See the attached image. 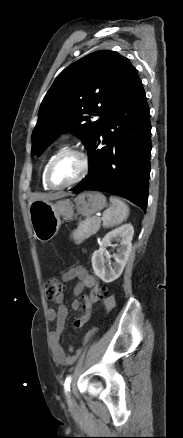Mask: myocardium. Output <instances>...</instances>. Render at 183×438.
<instances>
[{"mask_svg": "<svg viewBox=\"0 0 183 438\" xmlns=\"http://www.w3.org/2000/svg\"><path fill=\"white\" fill-rule=\"evenodd\" d=\"M69 155H74L77 156L80 160L81 163V169L79 174L70 182L66 183V184H62V185H55L51 182V178H50V174H51V170L53 165L62 157L65 156H69ZM90 171V159L87 155V153H85L82 150L76 149V148H68V149H64L60 152H58L48 163L46 170H45V182L46 184L49 186L50 189H54V190H59V189H64V188H68L70 186H73L79 182H81L89 173Z\"/></svg>", "mask_w": 183, "mask_h": 438, "instance_id": "obj_1", "label": "myocardium"}]
</instances>
